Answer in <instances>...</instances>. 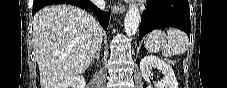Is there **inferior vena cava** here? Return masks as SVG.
<instances>
[{
	"label": "inferior vena cava",
	"instance_id": "inferior-vena-cava-1",
	"mask_svg": "<svg viewBox=\"0 0 227 88\" xmlns=\"http://www.w3.org/2000/svg\"><path fill=\"white\" fill-rule=\"evenodd\" d=\"M95 4H96L97 7H99L100 9H102V10L105 9V2H104V0H96Z\"/></svg>",
	"mask_w": 227,
	"mask_h": 88
}]
</instances>
